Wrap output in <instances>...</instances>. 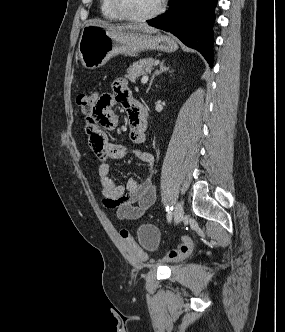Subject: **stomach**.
I'll return each mask as SVG.
<instances>
[{"label":"stomach","instance_id":"obj_1","mask_svg":"<svg viewBox=\"0 0 285 332\" xmlns=\"http://www.w3.org/2000/svg\"><path fill=\"white\" fill-rule=\"evenodd\" d=\"M177 49L175 40L167 35L113 33L106 28L89 24L82 30L78 56L85 68L93 70L119 54L132 55L146 50L174 52Z\"/></svg>","mask_w":285,"mask_h":332}]
</instances>
